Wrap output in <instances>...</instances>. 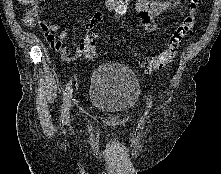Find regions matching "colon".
Wrapping results in <instances>:
<instances>
[{
  "label": "colon",
  "mask_w": 221,
  "mask_h": 174,
  "mask_svg": "<svg viewBox=\"0 0 221 174\" xmlns=\"http://www.w3.org/2000/svg\"><path fill=\"white\" fill-rule=\"evenodd\" d=\"M22 5L27 7L24 20L27 24L32 23L34 14L33 7L38 0H18ZM200 0H188V14L178 23L174 24L169 40L165 48L157 54L141 62L146 72H156L164 68L177 55L179 46L185 36L192 31L195 26L196 12ZM82 56L91 59L97 54V45L93 39L86 36L80 45Z\"/></svg>",
  "instance_id": "obj_1"
}]
</instances>
